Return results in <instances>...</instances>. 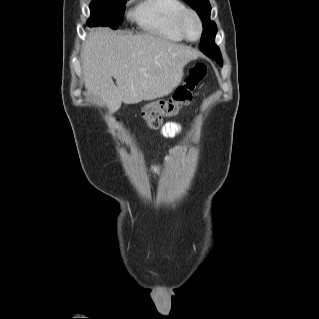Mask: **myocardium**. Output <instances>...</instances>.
Masks as SVG:
<instances>
[{"mask_svg": "<svg viewBox=\"0 0 319 319\" xmlns=\"http://www.w3.org/2000/svg\"><path fill=\"white\" fill-rule=\"evenodd\" d=\"M190 17L195 19V21L198 24V28H199V33L195 38H192L188 35L187 30H186V26H185L187 19ZM176 29L185 40L190 41V42L198 41L201 38L202 33H203V26H202L201 18L199 17V15L197 14L196 11L186 8L178 16V18L176 20Z\"/></svg>", "mask_w": 319, "mask_h": 319, "instance_id": "1", "label": "myocardium"}]
</instances>
